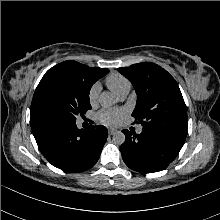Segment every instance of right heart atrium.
<instances>
[{
  "mask_svg": "<svg viewBox=\"0 0 220 220\" xmlns=\"http://www.w3.org/2000/svg\"><path fill=\"white\" fill-rule=\"evenodd\" d=\"M99 93H100V85L98 83L93 84L88 93V100L91 105H95L97 103Z\"/></svg>",
  "mask_w": 220,
  "mask_h": 220,
  "instance_id": "obj_1",
  "label": "right heart atrium"
}]
</instances>
